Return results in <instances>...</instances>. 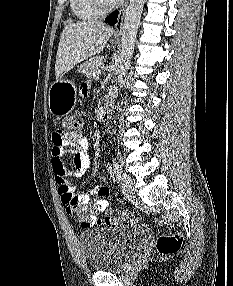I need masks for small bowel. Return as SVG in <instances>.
<instances>
[{
	"instance_id": "1",
	"label": "small bowel",
	"mask_w": 233,
	"mask_h": 286,
	"mask_svg": "<svg viewBox=\"0 0 233 286\" xmlns=\"http://www.w3.org/2000/svg\"><path fill=\"white\" fill-rule=\"evenodd\" d=\"M89 93V85L85 84L81 88V94L87 96ZM72 155L73 170L69 171L64 162V156ZM90 159L88 155V141L84 136H61L57 131L52 135L51 149V165L58 185V193L62 202L67 205V199L77 197L82 207L90 206V199L97 197L98 199L92 205L97 216V212L103 211L108 206L107 197L110 195V188L106 185L98 184L91 187L83 194L76 193L75 184L70 181L68 175L75 177L81 176L82 172L89 166ZM68 211V209H67ZM68 213H70L68 211ZM83 227H87L80 219H78Z\"/></svg>"
}]
</instances>
